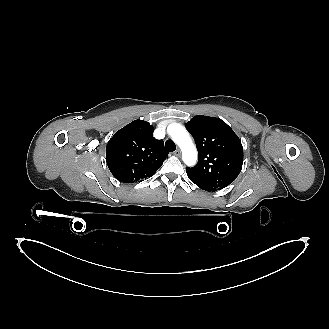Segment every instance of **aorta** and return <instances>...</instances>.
I'll list each match as a JSON object with an SVG mask.
<instances>
[{
    "label": "aorta",
    "instance_id": "aorta-1",
    "mask_svg": "<svg viewBox=\"0 0 329 329\" xmlns=\"http://www.w3.org/2000/svg\"><path fill=\"white\" fill-rule=\"evenodd\" d=\"M172 140L182 151V159L188 166H193L197 162V150L188 131L180 124H170L168 127Z\"/></svg>",
    "mask_w": 329,
    "mask_h": 329
}]
</instances>
